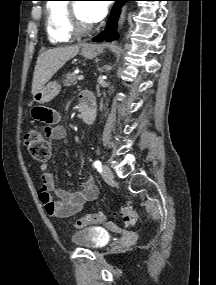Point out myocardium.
<instances>
[{
    "instance_id": "obj_1",
    "label": "myocardium",
    "mask_w": 216,
    "mask_h": 285,
    "mask_svg": "<svg viewBox=\"0 0 216 285\" xmlns=\"http://www.w3.org/2000/svg\"><path fill=\"white\" fill-rule=\"evenodd\" d=\"M66 23L69 33L72 36H83L90 33L93 26L80 22L75 12V3L67 4Z\"/></svg>"
}]
</instances>
